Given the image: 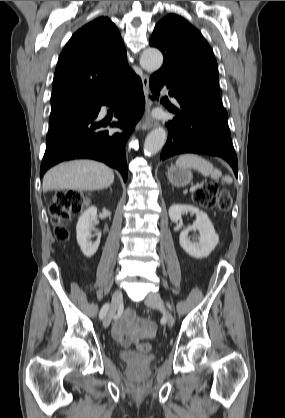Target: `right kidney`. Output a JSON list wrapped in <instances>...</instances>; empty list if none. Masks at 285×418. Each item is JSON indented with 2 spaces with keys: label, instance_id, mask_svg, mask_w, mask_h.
I'll use <instances>...</instances> for the list:
<instances>
[{
  "label": "right kidney",
  "instance_id": "ca27d5eb",
  "mask_svg": "<svg viewBox=\"0 0 285 418\" xmlns=\"http://www.w3.org/2000/svg\"><path fill=\"white\" fill-rule=\"evenodd\" d=\"M97 221V208L89 207L78 219L76 225L77 243L86 257H92L98 250L100 238L90 241L92 225Z\"/></svg>",
  "mask_w": 285,
  "mask_h": 418
}]
</instances>
